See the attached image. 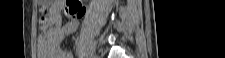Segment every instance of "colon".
Instances as JSON below:
<instances>
[{
    "instance_id": "5ec220e1",
    "label": "colon",
    "mask_w": 225,
    "mask_h": 58,
    "mask_svg": "<svg viewBox=\"0 0 225 58\" xmlns=\"http://www.w3.org/2000/svg\"><path fill=\"white\" fill-rule=\"evenodd\" d=\"M41 10L46 7L47 1H40ZM84 7L80 1H69V14L74 18H81L84 15Z\"/></svg>"
}]
</instances>
